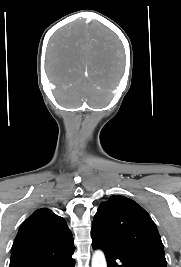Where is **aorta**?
Here are the masks:
<instances>
[{
	"label": "aorta",
	"instance_id": "1",
	"mask_svg": "<svg viewBox=\"0 0 181 267\" xmlns=\"http://www.w3.org/2000/svg\"><path fill=\"white\" fill-rule=\"evenodd\" d=\"M92 267H107L105 255L101 250H96L92 256Z\"/></svg>",
	"mask_w": 181,
	"mask_h": 267
}]
</instances>
